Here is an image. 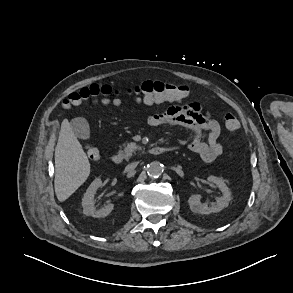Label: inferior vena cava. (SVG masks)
<instances>
[{
  "mask_svg": "<svg viewBox=\"0 0 293 293\" xmlns=\"http://www.w3.org/2000/svg\"><path fill=\"white\" fill-rule=\"evenodd\" d=\"M138 163L137 162H133V163H130L126 166L125 170L126 171H132L134 170L136 167H137Z\"/></svg>",
  "mask_w": 293,
  "mask_h": 293,
  "instance_id": "inferior-vena-cava-1",
  "label": "inferior vena cava"
}]
</instances>
